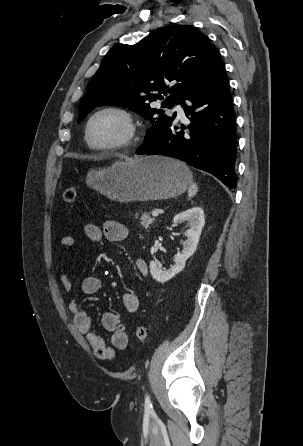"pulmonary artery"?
<instances>
[{
  "label": "pulmonary artery",
  "mask_w": 303,
  "mask_h": 446,
  "mask_svg": "<svg viewBox=\"0 0 303 446\" xmlns=\"http://www.w3.org/2000/svg\"><path fill=\"white\" fill-rule=\"evenodd\" d=\"M175 111L177 112L178 117H180V118H184L185 117L184 108H183V106L180 103H178L175 106Z\"/></svg>",
  "instance_id": "1"
}]
</instances>
